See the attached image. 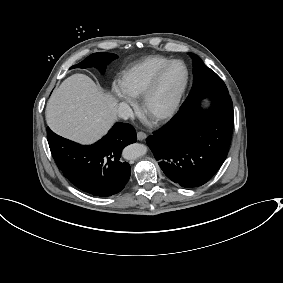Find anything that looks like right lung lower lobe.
<instances>
[{"label":"right lung lower lobe","instance_id":"1","mask_svg":"<svg viewBox=\"0 0 283 283\" xmlns=\"http://www.w3.org/2000/svg\"><path fill=\"white\" fill-rule=\"evenodd\" d=\"M52 156L63 175L80 190L106 197L120 192L127 184L131 168L122 162L125 146L136 142V131L127 123H116L93 145L83 146L47 128Z\"/></svg>","mask_w":283,"mask_h":283}]
</instances>
